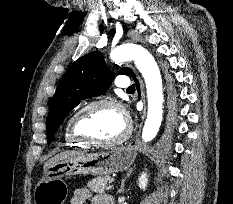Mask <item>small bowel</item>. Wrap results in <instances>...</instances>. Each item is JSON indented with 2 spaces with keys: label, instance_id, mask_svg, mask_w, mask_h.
I'll return each instance as SVG.
<instances>
[{
  "label": "small bowel",
  "instance_id": "small-bowel-1",
  "mask_svg": "<svg viewBox=\"0 0 233 204\" xmlns=\"http://www.w3.org/2000/svg\"><path fill=\"white\" fill-rule=\"evenodd\" d=\"M91 204H113L111 196L105 194L92 195L87 188H78L74 191L70 203L71 204H85L87 201Z\"/></svg>",
  "mask_w": 233,
  "mask_h": 204
}]
</instances>
